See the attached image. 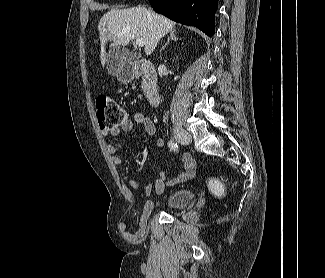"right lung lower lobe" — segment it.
Returning <instances> with one entry per match:
<instances>
[{
    "instance_id": "1",
    "label": "right lung lower lobe",
    "mask_w": 325,
    "mask_h": 278,
    "mask_svg": "<svg viewBox=\"0 0 325 278\" xmlns=\"http://www.w3.org/2000/svg\"><path fill=\"white\" fill-rule=\"evenodd\" d=\"M153 9L173 21L195 26L208 36L215 33L218 0H149Z\"/></svg>"
}]
</instances>
